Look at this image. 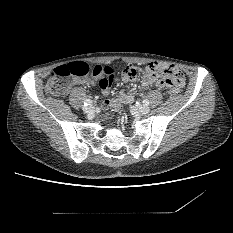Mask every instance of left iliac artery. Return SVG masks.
<instances>
[{"mask_svg": "<svg viewBox=\"0 0 233 233\" xmlns=\"http://www.w3.org/2000/svg\"><path fill=\"white\" fill-rule=\"evenodd\" d=\"M143 104L149 105V101L147 99L143 100Z\"/></svg>", "mask_w": 233, "mask_h": 233, "instance_id": "obj_1", "label": "left iliac artery"}]
</instances>
